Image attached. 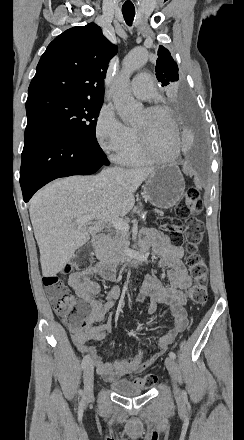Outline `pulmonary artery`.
Here are the masks:
<instances>
[{
  "instance_id": "e3ab8cb5",
  "label": "pulmonary artery",
  "mask_w": 244,
  "mask_h": 440,
  "mask_svg": "<svg viewBox=\"0 0 244 440\" xmlns=\"http://www.w3.org/2000/svg\"><path fill=\"white\" fill-rule=\"evenodd\" d=\"M133 94L140 100H149L156 98L154 83L151 82V76L147 69H140L138 75L132 77Z\"/></svg>"
}]
</instances>
